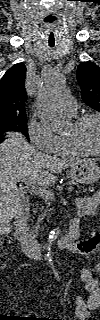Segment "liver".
<instances>
[{
  "label": "liver",
  "instance_id": "liver-1",
  "mask_svg": "<svg viewBox=\"0 0 100 320\" xmlns=\"http://www.w3.org/2000/svg\"><path fill=\"white\" fill-rule=\"evenodd\" d=\"M81 160L60 159L43 154L31 146L21 133H8L0 144V222L1 227L23 213L17 181L32 179L40 186L57 181V173Z\"/></svg>",
  "mask_w": 100,
  "mask_h": 320
}]
</instances>
